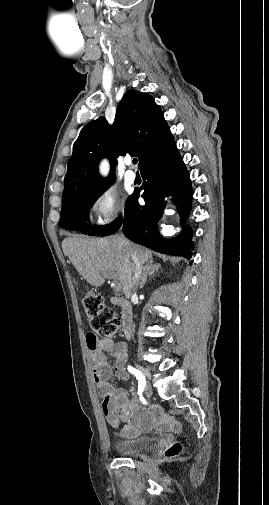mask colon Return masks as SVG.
<instances>
[{
    "instance_id": "colon-1",
    "label": "colon",
    "mask_w": 269,
    "mask_h": 505,
    "mask_svg": "<svg viewBox=\"0 0 269 505\" xmlns=\"http://www.w3.org/2000/svg\"><path fill=\"white\" fill-rule=\"evenodd\" d=\"M82 307L91 330L89 335L108 339L117 334L120 320L111 308L104 305L100 295L87 291L82 298ZM181 450V445L174 443L167 448L166 456L176 457L181 453Z\"/></svg>"
}]
</instances>
